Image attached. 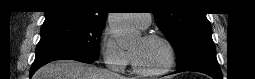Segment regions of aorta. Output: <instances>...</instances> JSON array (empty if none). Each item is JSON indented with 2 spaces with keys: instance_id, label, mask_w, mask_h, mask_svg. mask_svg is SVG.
<instances>
[{
  "instance_id": "1",
  "label": "aorta",
  "mask_w": 255,
  "mask_h": 79,
  "mask_svg": "<svg viewBox=\"0 0 255 79\" xmlns=\"http://www.w3.org/2000/svg\"><path fill=\"white\" fill-rule=\"evenodd\" d=\"M109 26L120 47H129L139 38V32L130 22L129 13H111Z\"/></svg>"
}]
</instances>
